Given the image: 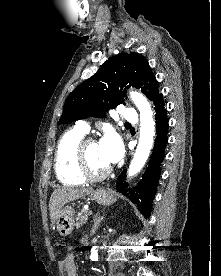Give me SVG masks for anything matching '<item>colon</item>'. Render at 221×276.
<instances>
[{"label": "colon", "mask_w": 221, "mask_h": 276, "mask_svg": "<svg viewBox=\"0 0 221 276\" xmlns=\"http://www.w3.org/2000/svg\"><path fill=\"white\" fill-rule=\"evenodd\" d=\"M55 247H64V242H55Z\"/></svg>", "instance_id": "colon-1"}]
</instances>
